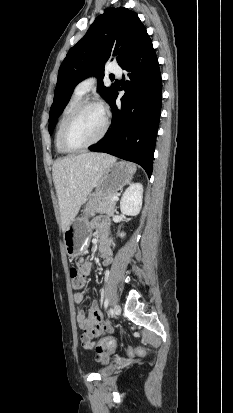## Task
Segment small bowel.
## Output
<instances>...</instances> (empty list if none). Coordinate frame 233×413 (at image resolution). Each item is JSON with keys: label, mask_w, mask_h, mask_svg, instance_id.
Segmentation results:
<instances>
[{"label": "small bowel", "mask_w": 233, "mask_h": 413, "mask_svg": "<svg viewBox=\"0 0 233 413\" xmlns=\"http://www.w3.org/2000/svg\"><path fill=\"white\" fill-rule=\"evenodd\" d=\"M93 226L98 229L105 230L107 228V223L104 220H97L93 223ZM99 252L104 259L105 264L110 265L112 263V247L111 239L104 233L100 237ZM76 267L80 269L84 276L89 275L91 271V264L86 261H81L76 264ZM74 302L77 305L83 303L85 299L84 292H76L73 296ZM77 322L79 327L83 330L81 335V341L84 348H92L95 343L92 341L93 338L103 335L105 332L112 330V324L108 319H105L99 304L93 302L90 309L85 312L84 310H78L77 312ZM115 348V342L113 341L111 346L103 351L97 352V357L100 361H107L110 353Z\"/></svg>", "instance_id": "c3829d8e"}]
</instances>
